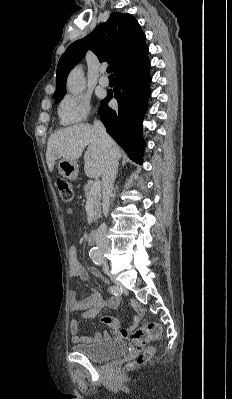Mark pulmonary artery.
I'll use <instances>...</instances> for the list:
<instances>
[{"instance_id":"e3ab8cb5","label":"pulmonary artery","mask_w":232,"mask_h":399,"mask_svg":"<svg viewBox=\"0 0 232 399\" xmlns=\"http://www.w3.org/2000/svg\"><path fill=\"white\" fill-rule=\"evenodd\" d=\"M105 72V69L100 71V74L102 75V77L99 79L100 88L107 87L109 85V81L105 77Z\"/></svg>"}]
</instances>
